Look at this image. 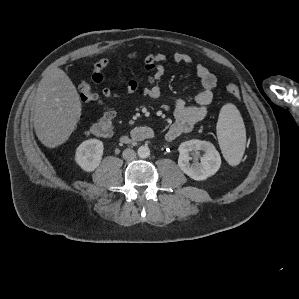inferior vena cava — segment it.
Listing matches in <instances>:
<instances>
[{
	"instance_id": "obj_1",
	"label": "inferior vena cava",
	"mask_w": 299,
	"mask_h": 299,
	"mask_svg": "<svg viewBox=\"0 0 299 299\" xmlns=\"http://www.w3.org/2000/svg\"><path fill=\"white\" fill-rule=\"evenodd\" d=\"M123 158L127 161H131L136 157V152L130 148H127L123 151Z\"/></svg>"
}]
</instances>
